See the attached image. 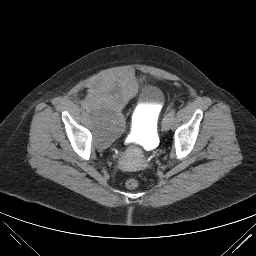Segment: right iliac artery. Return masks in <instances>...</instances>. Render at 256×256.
<instances>
[{
	"label": "right iliac artery",
	"instance_id": "1",
	"mask_svg": "<svg viewBox=\"0 0 256 256\" xmlns=\"http://www.w3.org/2000/svg\"><path fill=\"white\" fill-rule=\"evenodd\" d=\"M80 106H81L82 108H85V109H86L87 103H86L85 101H82V102L80 103Z\"/></svg>",
	"mask_w": 256,
	"mask_h": 256
}]
</instances>
